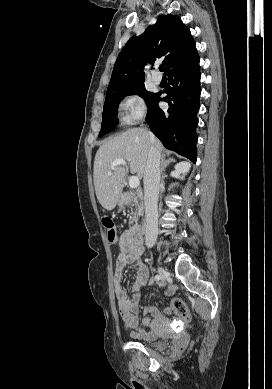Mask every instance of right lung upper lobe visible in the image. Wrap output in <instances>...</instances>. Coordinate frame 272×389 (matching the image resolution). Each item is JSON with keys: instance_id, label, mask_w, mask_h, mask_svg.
Here are the masks:
<instances>
[{"instance_id": "1", "label": "right lung upper lobe", "mask_w": 272, "mask_h": 389, "mask_svg": "<svg viewBox=\"0 0 272 389\" xmlns=\"http://www.w3.org/2000/svg\"><path fill=\"white\" fill-rule=\"evenodd\" d=\"M197 55L190 30L181 18L161 15L156 24L149 26L140 36H133L120 52L107 94L144 83L142 69L147 61L162 59L165 73L180 66Z\"/></svg>"}]
</instances>
